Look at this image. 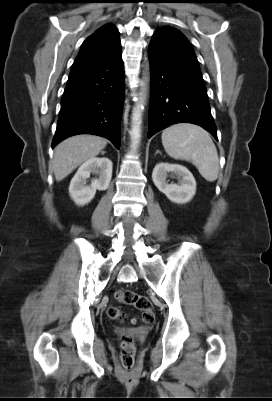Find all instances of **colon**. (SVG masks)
<instances>
[{"instance_id":"5ec220e1","label":"colon","mask_w":272,"mask_h":401,"mask_svg":"<svg viewBox=\"0 0 272 401\" xmlns=\"http://www.w3.org/2000/svg\"><path fill=\"white\" fill-rule=\"evenodd\" d=\"M117 302L134 306L141 311V321L145 324H150L155 319V312L149 299L141 294H137L132 290L122 289L115 293ZM110 318L118 320L123 317V314L117 307L108 309ZM136 355V346L130 334H123L120 337V361L122 367L126 371H131L134 368Z\"/></svg>"}]
</instances>
